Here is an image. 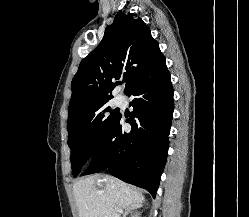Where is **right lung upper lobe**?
Segmentation results:
<instances>
[{
    "instance_id": "right-lung-upper-lobe-1",
    "label": "right lung upper lobe",
    "mask_w": 249,
    "mask_h": 217,
    "mask_svg": "<svg viewBox=\"0 0 249 217\" xmlns=\"http://www.w3.org/2000/svg\"><path fill=\"white\" fill-rule=\"evenodd\" d=\"M150 28L133 13H118L97 48L85 57L72 80L69 116L110 100L115 80L126 82L124 93L160 54Z\"/></svg>"
}]
</instances>
